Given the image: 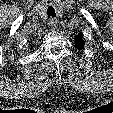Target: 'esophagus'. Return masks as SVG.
I'll use <instances>...</instances> for the list:
<instances>
[{"label": "esophagus", "mask_w": 113, "mask_h": 113, "mask_svg": "<svg viewBox=\"0 0 113 113\" xmlns=\"http://www.w3.org/2000/svg\"><path fill=\"white\" fill-rule=\"evenodd\" d=\"M49 30L55 31L57 29V21L54 18H51L48 22Z\"/></svg>", "instance_id": "obj_1"}]
</instances>
